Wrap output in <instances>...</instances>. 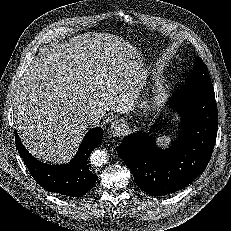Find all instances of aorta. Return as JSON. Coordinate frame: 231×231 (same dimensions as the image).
<instances>
[{
  "label": "aorta",
  "mask_w": 231,
  "mask_h": 231,
  "mask_svg": "<svg viewBox=\"0 0 231 231\" xmlns=\"http://www.w3.org/2000/svg\"><path fill=\"white\" fill-rule=\"evenodd\" d=\"M107 153L103 150H95L91 153L90 162L92 165L100 167L107 162Z\"/></svg>",
  "instance_id": "aorta-1"
}]
</instances>
